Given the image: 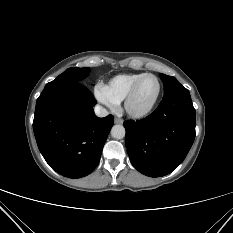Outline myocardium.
Segmentation results:
<instances>
[{
  "instance_id": "myocardium-1",
  "label": "myocardium",
  "mask_w": 233,
  "mask_h": 233,
  "mask_svg": "<svg viewBox=\"0 0 233 233\" xmlns=\"http://www.w3.org/2000/svg\"><path fill=\"white\" fill-rule=\"evenodd\" d=\"M147 77H152L157 81V85H158L157 94L149 106H147L146 108L142 110H135L131 107V102L137 92V89L140 83ZM161 89H162L161 82L156 75L151 74V73H145L144 75H142L139 79L135 81V83L132 85V87L130 88L129 92L127 93L124 99L123 107L127 115L135 119H142V118L147 117L149 114H151L159 101V98L161 95Z\"/></svg>"
}]
</instances>
